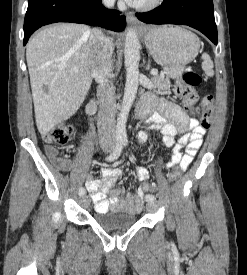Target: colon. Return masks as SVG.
<instances>
[{
    "mask_svg": "<svg viewBox=\"0 0 247 275\" xmlns=\"http://www.w3.org/2000/svg\"><path fill=\"white\" fill-rule=\"evenodd\" d=\"M201 83V76L194 71H186L177 81L175 92L181 99L184 109L192 110L199 100L197 87ZM201 124L202 127L208 129L211 126L214 113V98L212 95H205L201 101ZM74 130L70 125H58L52 128L44 136V141L48 144L64 145L68 143ZM181 174L180 168H174L168 174V180L175 182ZM140 189L145 193H152L156 190V185L153 183H143Z\"/></svg>",
    "mask_w": 247,
    "mask_h": 275,
    "instance_id": "colon-1",
    "label": "colon"
}]
</instances>
